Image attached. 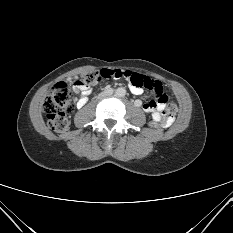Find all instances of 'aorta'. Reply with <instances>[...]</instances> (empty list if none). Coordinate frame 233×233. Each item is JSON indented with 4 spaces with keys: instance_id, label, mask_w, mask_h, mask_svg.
Wrapping results in <instances>:
<instances>
[{
    "instance_id": "1",
    "label": "aorta",
    "mask_w": 233,
    "mask_h": 233,
    "mask_svg": "<svg viewBox=\"0 0 233 233\" xmlns=\"http://www.w3.org/2000/svg\"><path fill=\"white\" fill-rule=\"evenodd\" d=\"M116 95L118 97H124L126 95V90L124 88H117Z\"/></svg>"
}]
</instances>
